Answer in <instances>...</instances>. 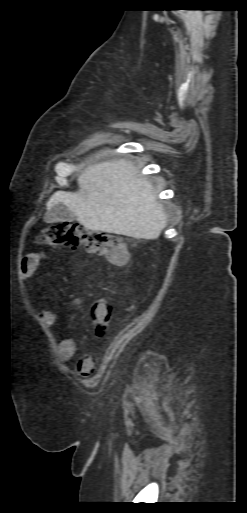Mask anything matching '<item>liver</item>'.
<instances>
[{
  "label": "liver",
  "instance_id": "6515ba94",
  "mask_svg": "<svg viewBox=\"0 0 247 513\" xmlns=\"http://www.w3.org/2000/svg\"><path fill=\"white\" fill-rule=\"evenodd\" d=\"M77 181V191L51 196L46 216L63 204L87 229L136 239H154L167 226L154 186L132 162L119 159L88 166Z\"/></svg>",
  "mask_w": 247,
  "mask_h": 513
}]
</instances>
